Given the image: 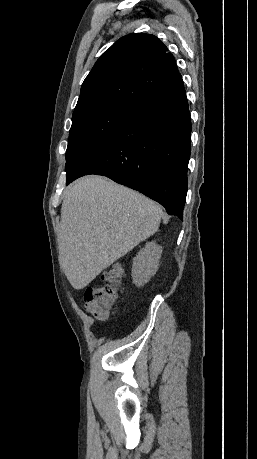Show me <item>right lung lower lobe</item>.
Wrapping results in <instances>:
<instances>
[{
    "mask_svg": "<svg viewBox=\"0 0 257 459\" xmlns=\"http://www.w3.org/2000/svg\"><path fill=\"white\" fill-rule=\"evenodd\" d=\"M191 118L181 79L135 109L111 141L66 184L88 174L104 175L140 191L183 220L191 145Z\"/></svg>",
    "mask_w": 257,
    "mask_h": 459,
    "instance_id": "98d812e1",
    "label": "right lung lower lobe"
}]
</instances>
